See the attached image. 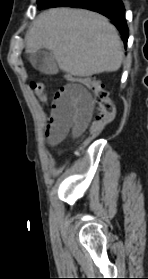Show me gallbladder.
I'll return each instance as SVG.
<instances>
[{"label": "gallbladder", "instance_id": "obj_1", "mask_svg": "<svg viewBox=\"0 0 148 279\" xmlns=\"http://www.w3.org/2000/svg\"><path fill=\"white\" fill-rule=\"evenodd\" d=\"M29 61L36 70L43 74L55 75L59 71L53 54L48 51L39 50L34 54H30Z\"/></svg>", "mask_w": 148, "mask_h": 279}]
</instances>
